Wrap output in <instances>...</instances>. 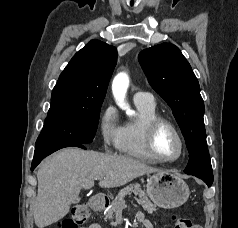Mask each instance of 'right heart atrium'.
Instances as JSON below:
<instances>
[{
    "label": "right heart atrium",
    "mask_w": 238,
    "mask_h": 228,
    "mask_svg": "<svg viewBox=\"0 0 238 228\" xmlns=\"http://www.w3.org/2000/svg\"><path fill=\"white\" fill-rule=\"evenodd\" d=\"M99 130L104 148L107 150L116 149L120 139L121 125L114 106H107L101 113Z\"/></svg>",
    "instance_id": "right-heart-atrium-1"
}]
</instances>
